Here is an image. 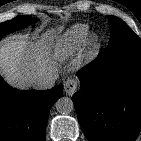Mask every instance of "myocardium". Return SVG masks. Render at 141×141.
<instances>
[{"label":"myocardium","mask_w":141,"mask_h":141,"mask_svg":"<svg viewBox=\"0 0 141 141\" xmlns=\"http://www.w3.org/2000/svg\"><path fill=\"white\" fill-rule=\"evenodd\" d=\"M100 45V38L97 34H89L86 46L89 53L95 52Z\"/></svg>","instance_id":"1"}]
</instances>
